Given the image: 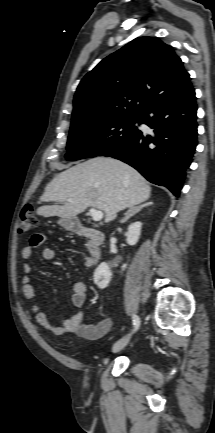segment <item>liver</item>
Returning a JSON list of instances; mask_svg holds the SVG:
<instances>
[{
    "label": "liver",
    "instance_id": "1",
    "mask_svg": "<svg viewBox=\"0 0 215 433\" xmlns=\"http://www.w3.org/2000/svg\"><path fill=\"white\" fill-rule=\"evenodd\" d=\"M150 194L151 187L134 168L117 159L96 157L59 173L40 201L62 205L41 206L37 214L72 219L94 207L103 211L109 222L119 211L148 200Z\"/></svg>",
    "mask_w": 215,
    "mask_h": 433
}]
</instances>
